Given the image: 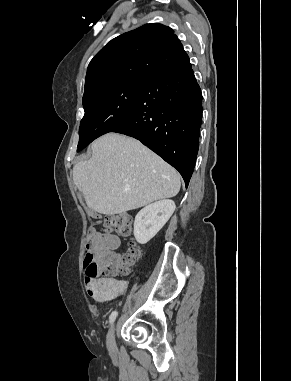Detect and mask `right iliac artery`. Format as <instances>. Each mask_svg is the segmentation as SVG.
<instances>
[{
  "label": "right iliac artery",
  "mask_w": 291,
  "mask_h": 381,
  "mask_svg": "<svg viewBox=\"0 0 291 381\" xmlns=\"http://www.w3.org/2000/svg\"><path fill=\"white\" fill-rule=\"evenodd\" d=\"M116 316H117V311H113L109 317L110 324L114 322V320L116 319Z\"/></svg>",
  "instance_id": "1"
}]
</instances>
